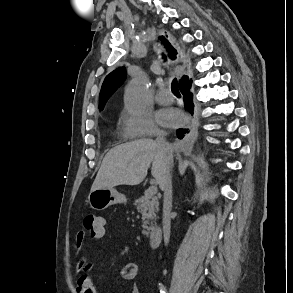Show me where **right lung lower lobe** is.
Masks as SVG:
<instances>
[{
	"label": "right lung lower lobe",
	"mask_w": 293,
	"mask_h": 293,
	"mask_svg": "<svg viewBox=\"0 0 293 293\" xmlns=\"http://www.w3.org/2000/svg\"><path fill=\"white\" fill-rule=\"evenodd\" d=\"M192 84V80L187 79L182 84H180V90L184 96V106L185 108L193 114V101H192V94L190 93V87ZM187 132L186 129H178L177 135L179 138H182L183 135Z\"/></svg>",
	"instance_id": "98d812e1"
}]
</instances>
